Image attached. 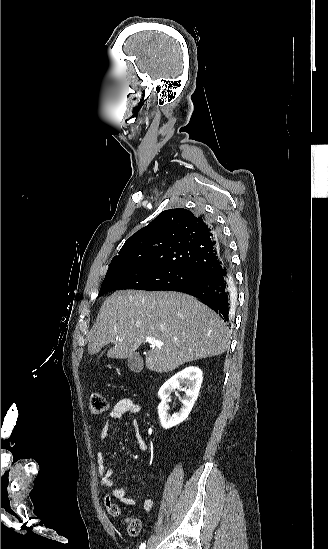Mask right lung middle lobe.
I'll list each match as a JSON object with an SVG mask.
<instances>
[{"instance_id": "obj_1", "label": "right lung middle lobe", "mask_w": 328, "mask_h": 549, "mask_svg": "<svg viewBox=\"0 0 328 549\" xmlns=\"http://www.w3.org/2000/svg\"><path fill=\"white\" fill-rule=\"evenodd\" d=\"M204 277L183 267L150 263H128L107 272L98 296L117 289L174 290Z\"/></svg>"}]
</instances>
